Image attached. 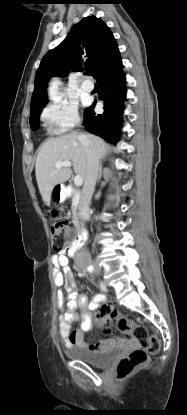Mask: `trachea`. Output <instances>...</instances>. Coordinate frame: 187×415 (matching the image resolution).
I'll return each mask as SVG.
<instances>
[{"label":"trachea","mask_w":187,"mask_h":415,"mask_svg":"<svg viewBox=\"0 0 187 415\" xmlns=\"http://www.w3.org/2000/svg\"><path fill=\"white\" fill-rule=\"evenodd\" d=\"M86 74L89 75V72L87 71Z\"/></svg>","instance_id":"1"}]
</instances>
